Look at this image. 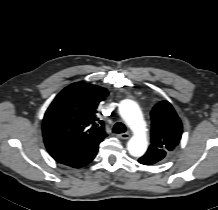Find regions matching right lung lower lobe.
<instances>
[{
    "label": "right lung lower lobe",
    "instance_id": "1",
    "mask_svg": "<svg viewBox=\"0 0 218 210\" xmlns=\"http://www.w3.org/2000/svg\"><path fill=\"white\" fill-rule=\"evenodd\" d=\"M44 143L50 155L59 163L80 168L90 163L98 152V143L77 144L69 140L47 137Z\"/></svg>",
    "mask_w": 218,
    "mask_h": 210
}]
</instances>
